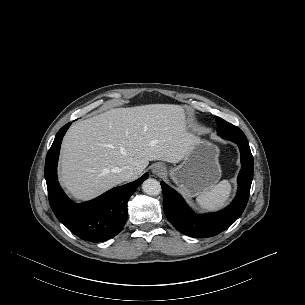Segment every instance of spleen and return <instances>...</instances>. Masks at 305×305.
<instances>
[{
    "label": "spleen",
    "instance_id": "3e777b00",
    "mask_svg": "<svg viewBox=\"0 0 305 305\" xmlns=\"http://www.w3.org/2000/svg\"><path fill=\"white\" fill-rule=\"evenodd\" d=\"M231 194V185L228 180H223L217 185L199 194L197 204L204 209L216 210L225 205Z\"/></svg>",
    "mask_w": 305,
    "mask_h": 305
}]
</instances>
